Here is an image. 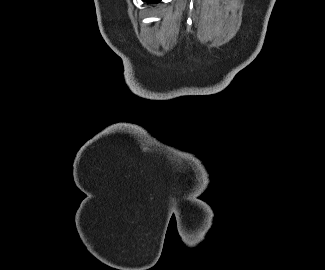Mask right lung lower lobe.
<instances>
[{
  "label": "right lung lower lobe",
  "instance_id": "98d812e1",
  "mask_svg": "<svg viewBox=\"0 0 325 270\" xmlns=\"http://www.w3.org/2000/svg\"><path fill=\"white\" fill-rule=\"evenodd\" d=\"M143 1H147V2H149V3H157V2H159L160 0H143Z\"/></svg>",
  "mask_w": 325,
  "mask_h": 270
}]
</instances>
